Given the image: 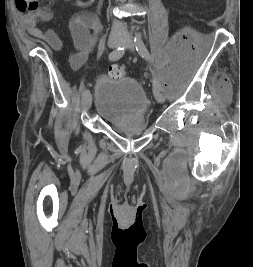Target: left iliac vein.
I'll return each mask as SVG.
<instances>
[{
    "label": "left iliac vein",
    "instance_id": "1",
    "mask_svg": "<svg viewBox=\"0 0 253 267\" xmlns=\"http://www.w3.org/2000/svg\"><path fill=\"white\" fill-rule=\"evenodd\" d=\"M122 45H124L126 48H128L130 50L134 49V43L130 37H126L125 41H124V43H122ZM147 51H148V49H147ZM148 53H149V51H148ZM153 93H154V96H155L157 102L162 103L165 100V97L160 90L154 89Z\"/></svg>",
    "mask_w": 253,
    "mask_h": 267
}]
</instances>
